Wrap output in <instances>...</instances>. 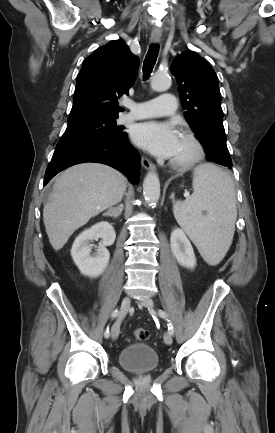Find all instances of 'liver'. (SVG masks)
Wrapping results in <instances>:
<instances>
[{"label":"liver","mask_w":275,"mask_h":433,"mask_svg":"<svg viewBox=\"0 0 275 433\" xmlns=\"http://www.w3.org/2000/svg\"><path fill=\"white\" fill-rule=\"evenodd\" d=\"M126 186L123 174L100 163L74 165L61 173L43 209L53 249H62L75 230L118 203Z\"/></svg>","instance_id":"liver-1"}]
</instances>
